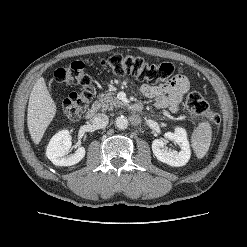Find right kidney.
<instances>
[{
    "label": "right kidney",
    "instance_id": "1",
    "mask_svg": "<svg viewBox=\"0 0 247 247\" xmlns=\"http://www.w3.org/2000/svg\"><path fill=\"white\" fill-rule=\"evenodd\" d=\"M71 139L68 130H61L51 138L46 149V156L54 165L71 166L84 158V147H79L74 154L67 155L72 145Z\"/></svg>",
    "mask_w": 247,
    "mask_h": 247
}]
</instances>
